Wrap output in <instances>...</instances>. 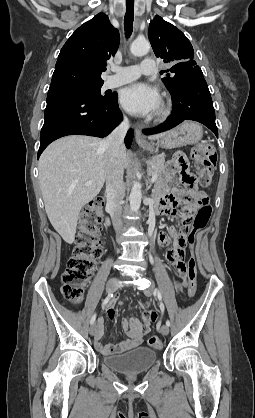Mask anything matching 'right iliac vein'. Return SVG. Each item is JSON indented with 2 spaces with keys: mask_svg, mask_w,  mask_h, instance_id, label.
I'll return each mask as SVG.
<instances>
[{
  "mask_svg": "<svg viewBox=\"0 0 255 418\" xmlns=\"http://www.w3.org/2000/svg\"><path fill=\"white\" fill-rule=\"evenodd\" d=\"M117 283H118V278L114 277V278L110 279V280L107 282V285H106V291H107L108 293H112V292L116 289V287H117ZM96 328H97L96 324H92V325L90 326V328H89V333H90V335H91V336H93V335L95 334V332H96Z\"/></svg>",
  "mask_w": 255,
  "mask_h": 418,
  "instance_id": "63e3f726",
  "label": "right iliac vein"
}]
</instances>
